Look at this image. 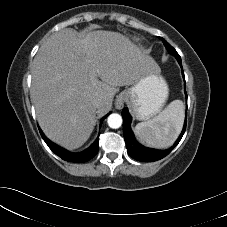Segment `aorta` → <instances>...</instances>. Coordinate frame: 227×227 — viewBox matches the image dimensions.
I'll return each instance as SVG.
<instances>
[{
    "instance_id": "1",
    "label": "aorta",
    "mask_w": 227,
    "mask_h": 227,
    "mask_svg": "<svg viewBox=\"0 0 227 227\" xmlns=\"http://www.w3.org/2000/svg\"><path fill=\"white\" fill-rule=\"evenodd\" d=\"M107 123L110 128L117 129L122 125V117L117 113H113L109 115Z\"/></svg>"
}]
</instances>
